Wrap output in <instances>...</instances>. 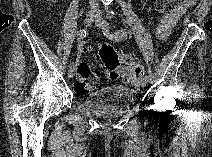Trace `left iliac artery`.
I'll return each instance as SVG.
<instances>
[{"label": "left iliac artery", "instance_id": "obj_1", "mask_svg": "<svg viewBox=\"0 0 212 157\" xmlns=\"http://www.w3.org/2000/svg\"><path fill=\"white\" fill-rule=\"evenodd\" d=\"M104 35H106L110 39L119 41V40L125 39L127 37V32L125 31V29H120V30L116 31L114 34H110L107 29H104ZM142 79L145 82H150L151 81L150 76L147 75V74L143 75Z\"/></svg>", "mask_w": 212, "mask_h": 157}]
</instances>
